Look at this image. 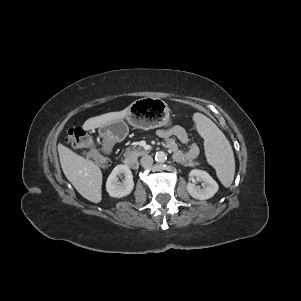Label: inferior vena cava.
Listing matches in <instances>:
<instances>
[{"mask_svg":"<svg viewBox=\"0 0 301 301\" xmlns=\"http://www.w3.org/2000/svg\"><path fill=\"white\" fill-rule=\"evenodd\" d=\"M141 165L144 168L150 167L153 164V158L150 155H144L141 160Z\"/></svg>","mask_w":301,"mask_h":301,"instance_id":"obj_1","label":"inferior vena cava"}]
</instances>
